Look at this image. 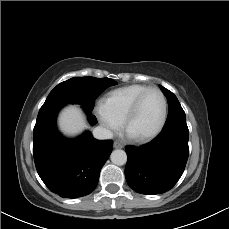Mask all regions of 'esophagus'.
<instances>
[{
	"instance_id": "esophagus-1",
	"label": "esophagus",
	"mask_w": 229,
	"mask_h": 229,
	"mask_svg": "<svg viewBox=\"0 0 229 229\" xmlns=\"http://www.w3.org/2000/svg\"><path fill=\"white\" fill-rule=\"evenodd\" d=\"M113 147L116 148V149H118V148H122L123 145H122L121 143L115 141V142L113 143Z\"/></svg>"
}]
</instances>
